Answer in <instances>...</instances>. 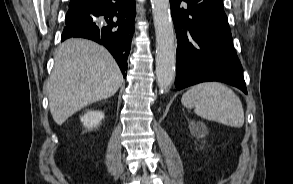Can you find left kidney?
Segmentation results:
<instances>
[{"instance_id":"left-kidney-1","label":"left kidney","mask_w":293,"mask_h":184,"mask_svg":"<svg viewBox=\"0 0 293 184\" xmlns=\"http://www.w3.org/2000/svg\"><path fill=\"white\" fill-rule=\"evenodd\" d=\"M189 129L192 135L195 137H204L207 133V127L205 124L201 122H191L189 125Z\"/></svg>"}]
</instances>
